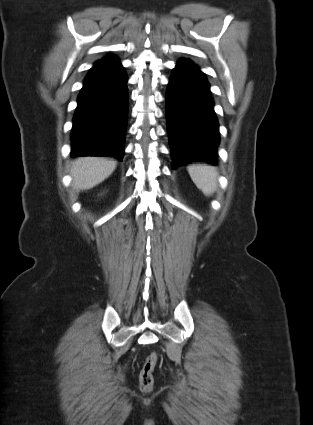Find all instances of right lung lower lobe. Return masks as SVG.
<instances>
[{
    "label": "right lung lower lobe",
    "mask_w": 313,
    "mask_h": 425,
    "mask_svg": "<svg viewBox=\"0 0 313 425\" xmlns=\"http://www.w3.org/2000/svg\"><path fill=\"white\" fill-rule=\"evenodd\" d=\"M71 134L72 157L122 159L128 115L127 76L119 59L94 63L78 96Z\"/></svg>",
    "instance_id": "98d812e1"
}]
</instances>
